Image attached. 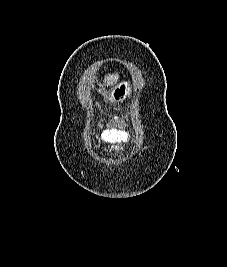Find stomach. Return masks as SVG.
Masks as SVG:
<instances>
[{
  "mask_svg": "<svg viewBox=\"0 0 227 267\" xmlns=\"http://www.w3.org/2000/svg\"><path fill=\"white\" fill-rule=\"evenodd\" d=\"M138 83L142 82H137V87ZM115 91L116 92L101 91V96H98V101H130V92L132 91V88L129 87L128 83H123L122 87H116Z\"/></svg>",
  "mask_w": 227,
  "mask_h": 267,
  "instance_id": "obj_1",
  "label": "stomach"
}]
</instances>
